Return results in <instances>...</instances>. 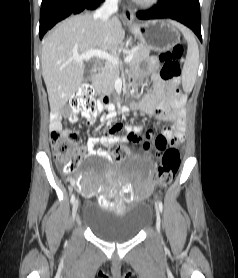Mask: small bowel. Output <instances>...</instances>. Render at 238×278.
Returning a JSON list of instances; mask_svg holds the SVG:
<instances>
[{"instance_id":"obj_1","label":"small bowel","mask_w":238,"mask_h":278,"mask_svg":"<svg viewBox=\"0 0 238 278\" xmlns=\"http://www.w3.org/2000/svg\"><path fill=\"white\" fill-rule=\"evenodd\" d=\"M151 60L152 68L156 67V60L158 55H149ZM141 74H135L132 76V83H136L141 79ZM153 89L141 103L132 105L133 109H136L144 114L153 115L161 120L172 122L171 126L164 127L160 134L155 138H147L140 135L142 128L131 124L115 123L112 125L104 134L101 136H92L88 138L85 146L81 149L80 153L85 157L99 155L108 157L105 150H95V147L99 144L109 147L119 142H133V143H145L152 144H175L180 142L184 137L185 132V98L177 88L176 83L166 84V82L157 74L153 75ZM121 112L126 113L127 107H122ZM102 113L103 121H111L116 116L115 108L112 104L99 100L95 111L89 112L83 110L81 116L86 119L88 124H94L98 115ZM78 113L72 111L69 114V119L72 122L77 121ZM124 128L127 134L125 136H118V132ZM50 129L51 131L59 130L66 131L62 128V115L59 112H53L50 117ZM147 136L152 137L153 133L156 132V127L145 128ZM158 149H153L156 155H162L166 149H161L162 153H157ZM71 184L76 187L79 183L71 178ZM149 184L153 185V181L149 180Z\"/></svg>"}]
</instances>
